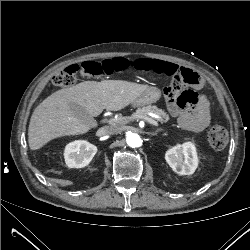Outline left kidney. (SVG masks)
<instances>
[{
  "label": "left kidney",
  "mask_w": 250,
  "mask_h": 250,
  "mask_svg": "<svg viewBox=\"0 0 250 250\" xmlns=\"http://www.w3.org/2000/svg\"><path fill=\"white\" fill-rule=\"evenodd\" d=\"M166 162L179 175H191L198 166L196 147L192 142L178 144L165 154Z\"/></svg>",
  "instance_id": "left-kidney-1"
}]
</instances>
